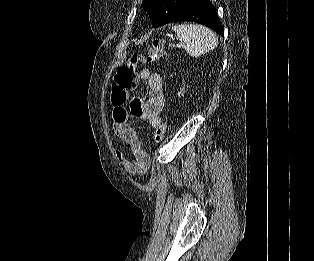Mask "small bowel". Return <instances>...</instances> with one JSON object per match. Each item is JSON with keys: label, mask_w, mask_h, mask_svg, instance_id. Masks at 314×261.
<instances>
[{"label": "small bowel", "mask_w": 314, "mask_h": 261, "mask_svg": "<svg viewBox=\"0 0 314 261\" xmlns=\"http://www.w3.org/2000/svg\"><path fill=\"white\" fill-rule=\"evenodd\" d=\"M139 80L148 88L146 99L133 98L128 107L126 104H113V129L116 136L126 145L130 155L119 150L117 157L125 172L132 176H143L150 168L152 158L144 147L137 131L129 123V117L146 120L153 128L161 122V112L165 105L163 79L160 74L143 68Z\"/></svg>", "instance_id": "obj_1"}]
</instances>
